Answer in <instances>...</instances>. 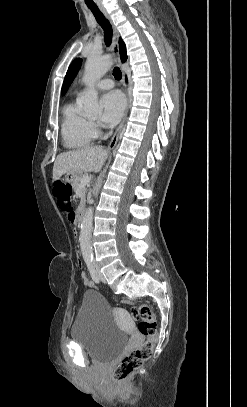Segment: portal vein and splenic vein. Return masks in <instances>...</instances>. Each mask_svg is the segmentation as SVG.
Here are the masks:
<instances>
[{"instance_id":"obj_1","label":"portal vein and splenic vein","mask_w":247,"mask_h":407,"mask_svg":"<svg viewBox=\"0 0 247 407\" xmlns=\"http://www.w3.org/2000/svg\"><path fill=\"white\" fill-rule=\"evenodd\" d=\"M90 180H91L90 177L84 176V177L82 178V180H81V186H83V185L89 183Z\"/></svg>"}]
</instances>
